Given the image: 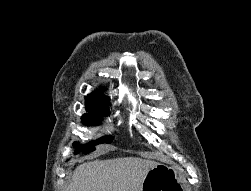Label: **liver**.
Segmentation results:
<instances>
[{"label":"liver","instance_id":"obj_1","mask_svg":"<svg viewBox=\"0 0 251 191\" xmlns=\"http://www.w3.org/2000/svg\"><path fill=\"white\" fill-rule=\"evenodd\" d=\"M157 161L142 157H114L80 163L68 191H141L144 175Z\"/></svg>","mask_w":251,"mask_h":191}]
</instances>
